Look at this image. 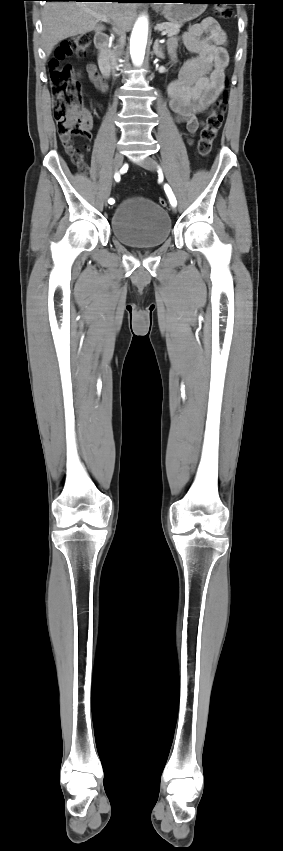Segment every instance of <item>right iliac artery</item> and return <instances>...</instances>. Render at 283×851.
Instances as JSON below:
<instances>
[{
  "label": "right iliac artery",
  "instance_id": "1",
  "mask_svg": "<svg viewBox=\"0 0 283 851\" xmlns=\"http://www.w3.org/2000/svg\"><path fill=\"white\" fill-rule=\"evenodd\" d=\"M114 178H115L117 184L121 183L120 176H119L118 173L115 174ZM108 202H109V204H113L115 201H114V199H109Z\"/></svg>",
  "mask_w": 283,
  "mask_h": 851
}]
</instances>
